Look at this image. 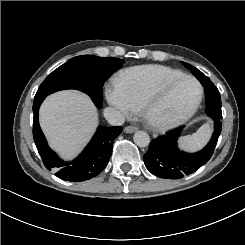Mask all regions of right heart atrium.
Returning <instances> with one entry per match:
<instances>
[{"label": "right heart atrium", "mask_w": 245, "mask_h": 245, "mask_svg": "<svg viewBox=\"0 0 245 245\" xmlns=\"http://www.w3.org/2000/svg\"><path fill=\"white\" fill-rule=\"evenodd\" d=\"M110 104L121 110L126 116H130L133 112V107L125 100V98L115 90H110L107 94Z\"/></svg>", "instance_id": "right-heart-atrium-1"}]
</instances>
